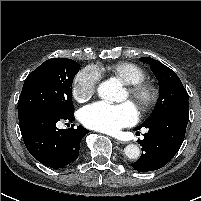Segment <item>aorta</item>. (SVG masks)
Instances as JSON below:
<instances>
[{
    "label": "aorta",
    "mask_w": 201,
    "mask_h": 201,
    "mask_svg": "<svg viewBox=\"0 0 201 201\" xmlns=\"http://www.w3.org/2000/svg\"><path fill=\"white\" fill-rule=\"evenodd\" d=\"M98 95L108 101H116L121 90L120 85L112 80L102 82L98 87ZM124 154L129 159H138L140 149L136 144H129L124 148Z\"/></svg>",
    "instance_id": "762f6f07"
}]
</instances>
